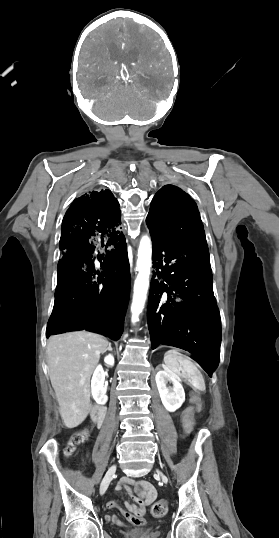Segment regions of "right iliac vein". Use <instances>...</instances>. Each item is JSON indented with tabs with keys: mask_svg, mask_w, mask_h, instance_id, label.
I'll list each match as a JSON object with an SVG mask.
<instances>
[{
	"mask_svg": "<svg viewBox=\"0 0 279 538\" xmlns=\"http://www.w3.org/2000/svg\"><path fill=\"white\" fill-rule=\"evenodd\" d=\"M115 472H116V466L113 465V466H111L109 468V470L105 474V476H104V478H103V480L101 482V485H100V494L101 495H103L106 492L111 480L113 479V476H114Z\"/></svg>",
	"mask_w": 279,
	"mask_h": 538,
	"instance_id": "obj_1",
	"label": "right iliac vein"
}]
</instances>
